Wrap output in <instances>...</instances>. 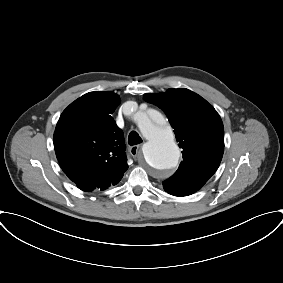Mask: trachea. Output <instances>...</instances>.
<instances>
[{
  "label": "trachea",
  "instance_id": "3493384b",
  "mask_svg": "<svg viewBox=\"0 0 283 283\" xmlns=\"http://www.w3.org/2000/svg\"><path fill=\"white\" fill-rule=\"evenodd\" d=\"M129 145H136L142 143V139L136 131L130 132L128 136Z\"/></svg>",
  "mask_w": 283,
  "mask_h": 283
}]
</instances>
